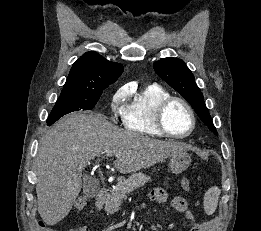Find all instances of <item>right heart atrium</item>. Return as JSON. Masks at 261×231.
<instances>
[{"label":"right heart atrium","instance_id":"d8ad5b80","mask_svg":"<svg viewBox=\"0 0 261 231\" xmlns=\"http://www.w3.org/2000/svg\"><path fill=\"white\" fill-rule=\"evenodd\" d=\"M127 88L123 87L118 89L112 96L110 101V107L115 117L122 119L123 111L120 108L124 98L126 97Z\"/></svg>","mask_w":261,"mask_h":231}]
</instances>
